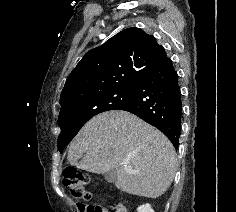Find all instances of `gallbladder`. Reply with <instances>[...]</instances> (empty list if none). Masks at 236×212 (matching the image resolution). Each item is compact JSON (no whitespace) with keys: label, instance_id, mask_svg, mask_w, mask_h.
<instances>
[{"label":"gallbladder","instance_id":"gallbladder-1","mask_svg":"<svg viewBox=\"0 0 236 212\" xmlns=\"http://www.w3.org/2000/svg\"><path fill=\"white\" fill-rule=\"evenodd\" d=\"M104 178L110 183L115 182L116 174H115L114 170H111V171H108V172L104 173Z\"/></svg>","mask_w":236,"mask_h":212}]
</instances>
